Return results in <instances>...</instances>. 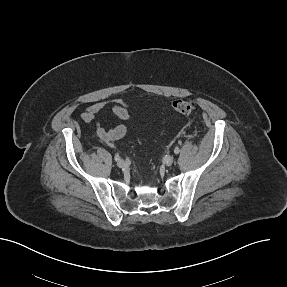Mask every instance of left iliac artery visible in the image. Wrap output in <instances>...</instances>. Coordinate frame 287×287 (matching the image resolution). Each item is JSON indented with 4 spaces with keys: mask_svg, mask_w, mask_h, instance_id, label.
<instances>
[{
    "mask_svg": "<svg viewBox=\"0 0 287 287\" xmlns=\"http://www.w3.org/2000/svg\"><path fill=\"white\" fill-rule=\"evenodd\" d=\"M180 152V149L178 148V147H176L175 149H174V153L175 154H178Z\"/></svg>",
    "mask_w": 287,
    "mask_h": 287,
    "instance_id": "left-iliac-artery-1",
    "label": "left iliac artery"
}]
</instances>
